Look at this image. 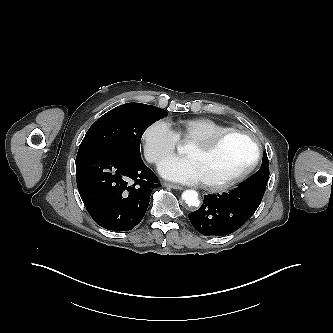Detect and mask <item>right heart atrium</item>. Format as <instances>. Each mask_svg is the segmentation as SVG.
Here are the masks:
<instances>
[{
    "label": "right heart atrium",
    "mask_w": 333,
    "mask_h": 333,
    "mask_svg": "<svg viewBox=\"0 0 333 333\" xmlns=\"http://www.w3.org/2000/svg\"><path fill=\"white\" fill-rule=\"evenodd\" d=\"M178 140L175 131L166 121L156 120L152 122L142 134L147 160L154 164L159 163L175 151Z\"/></svg>",
    "instance_id": "d8ad5b80"
}]
</instances>
